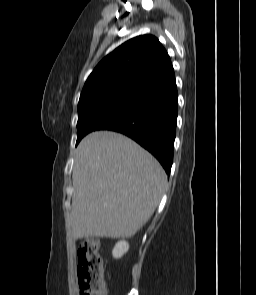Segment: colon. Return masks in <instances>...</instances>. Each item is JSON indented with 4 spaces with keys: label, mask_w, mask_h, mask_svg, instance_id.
<instances>
[{
    "label": "colon",
    "mask_w": 256,
    "mask_h": 295,
    "mask_svg": "<svg viewBox=\"0 0 256 295\" xmlns=\"http://www.w3.org/2000/svg\"><path fill=\"white\" fill-rule=\"evenodd\" d=\"M77 282L80 295H105L106 282L101 245L97 239L88 238L77 246Z\"/></svg>",
    "instance_id": "1"
}]
</instances>
